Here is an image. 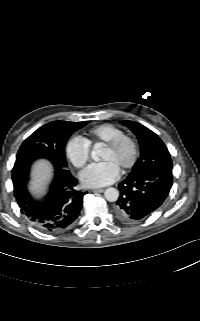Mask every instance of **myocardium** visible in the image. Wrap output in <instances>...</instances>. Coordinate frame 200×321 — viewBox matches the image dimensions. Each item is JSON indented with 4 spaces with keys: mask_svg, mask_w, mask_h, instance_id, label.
<instances>
[{
    "mask_svg": "<svg viewBox=\"0 0 200 321\" xmlns=\"http://www.w3.org/2000/svg\"><path fill=\"white\" fill-rule=\"evenodd\" d=\"M129 143L131 146V156L129 158V160L122 166V171H127L129 169H131L139 156V145L137 140L128 134H122L114 139H112L111 141L105 143V147L111 150H115L117 149L119 146H121L123 143Z\"/></svg>",
    "mask_w": 200,
    "mask_h": 321,
    "instance_id": "obj_1",
    "label": "myocardium"
}]
</instances>
